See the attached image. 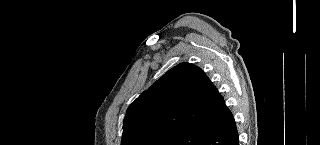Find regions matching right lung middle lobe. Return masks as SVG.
I'll return each instance as SVG.
<instances>
[{
    "label": "right lung middle lobe",
    "mask_w": 320,
    "mask_h": 145,
    "mask_svg": "<svg viewBox=\"0 0 320 145\" xmlns=\"http://www.w3.org/2000/svg\"><path fill=\"white\" fill-rule=\"evenodd\" d=\"M180 131L178 130H166L150 134L138 142L135 145H167L168 142L175 137Z\"/></svg>",
    "instance_id": "right-lung-middle-lobe-1"
}]
</instances>
